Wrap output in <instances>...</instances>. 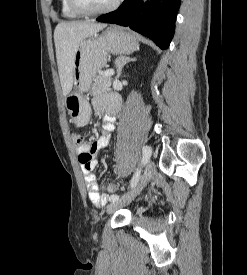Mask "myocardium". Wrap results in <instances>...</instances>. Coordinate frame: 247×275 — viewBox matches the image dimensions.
Returning <instances> with one entry per match:
<instances>
[{
	"label": "myocardium",
	"instance_id": "myocardium-1",
	"mask_svg": "<svg viewBox=\"0 0 247 275\" xmlns=\"http://www.w3.org/2000/svg\"><path fill=\"white\" fill-rule=\"evenodd\" d=\"M69 7L79 15L83 16H97L110 13L118 8L121 3V0H114L110 5L97 9V10H87L80 7L75 0H67Z\"/></svg>",
	"mask_w": 247,
	"mask_h": 275
}]
</instances>
